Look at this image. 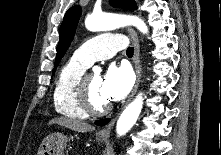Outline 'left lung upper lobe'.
Instances as JSON below:
<instances>
[{"label": "left lung upper lobe", "mask_w": 221, "mask_h": 155, "mask_svg": "<svg viewBox=\"0 0 221 155\" xmlns=\"http://www.w3.org/2000/svg\"><path fill=\"white\" fill-rule=\"evenodd\" d=\"M111 4L115 7L124 8V9L137 8L134 0H111ZM80 15H81L80 6H73L65 13L63 22L60 27V33H59L60 39L57 46L55 68L53 72H55L56 67L58 66L61 58L64 56L66 50L71 44V41L73 40Z\"/></svg>", "instance_id": "obj_1"}]
</instances>
